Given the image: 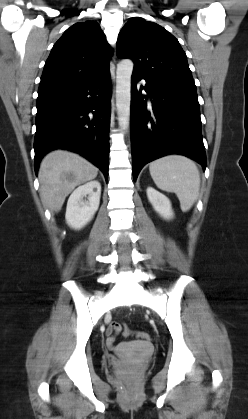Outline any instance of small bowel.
I'll list each match as a JSON object with an SVG mask.
<instances>
[{
    "instance_id": "small-bowel-1",
    "label": "small bowel",
    "mask_w": 248,
    "mask_h": 419,
    "mask_svg": "<svg viewBox=\"0 0 248 419\" xmlns=\"http://www.w3.org/2000/svg\"><path fill=\"white\" fill-rule=\"evenodd\" d=\"M107 343L110 347L112 348H117L116 344H115V338L113 336H109L107 339Z\"/></svg>"
}]
</instances>
